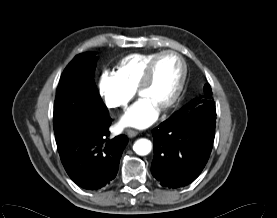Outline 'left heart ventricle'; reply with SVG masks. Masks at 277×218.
I'll list each match as a JSON object with an SVG mask.
<instances>
[{
  "label": "left heart ventricle",
  "instance_id": "left-heart-ventricle-1",
  "mask_svg": "<svg viewBox=\"0 0 277 218\" xmlns=\"http://www.w3.org/2000/svg\"><path fill=\"white\" fill-rule=\"evenodd\" d=\"M181 72V64L175 56L162 57L156 64L151 82L142 90L141 95L149 98L160 108L174 94Z\"/></svg>",
  "mask_w": 277,
  "mask_h": 218
}]
</instances>
